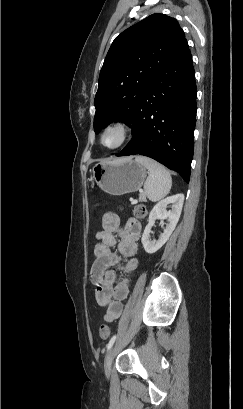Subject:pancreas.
<instances>
[{
	"label": "pancreas",
	"mask_w": 243,
	"mask_h": 409,
	"mask_svg": "<svg viewBox=\"0 0 243 409\" xmlns=\"http://www.w3.org/2000/svg\"><path fill=\"white\" fill-rule=\"evenodd\" d=\"M140 200H145V196L143 194L140 195Z\"/></svg>",
	"instance_id": "obj_1"
}]
</instances>
